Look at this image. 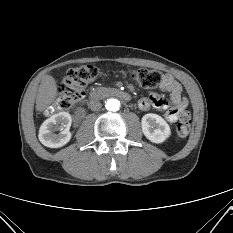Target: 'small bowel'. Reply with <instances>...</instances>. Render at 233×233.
I'll use <instances>...</instances> for the list:
<instances>
[{
	"instance_id": "small-bowel-1",
	"label": "small bowel",
	"mask_w": 233,
	"mask_h": 233,
	"mask_svg": "<svg viewBox=\"0 0 233 233\" xmlns=\"http://www.w3.org/2000/svg\"><path fill=\"white\" fill-rule=\"evenodd\" d=\"M160 87L169 94V97L166 99L156 93H152L148 97H144L139 101V108L147 110L154 107L164 110L165 120L167 122L174 123L185 111L188 105L187 98L183 95L181 85L172 75H165Z\"/></svg>"
}]
</instances>
